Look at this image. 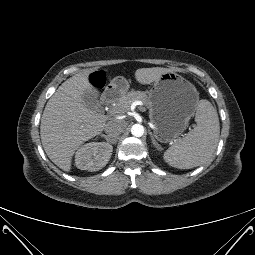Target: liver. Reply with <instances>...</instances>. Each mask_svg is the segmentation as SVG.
Returning <instances> with one entry per match:
<instances>
[{
	"instance_id": "liver-1",
	"label": "liver",
	"mask_w": 255,
	"mask_h": 255,
	"mask_svg": "<svg viewBox=\"0 0 255 255\" xmlns=\"http://www.w3.org/2000/svg\"><path fill=\"white\" fill-rule=\"evenodd\" d=\"M175 69L153 67L135 72L141 84H150L160 76ZM90 71L80 72L67 79L48 100L41 117L40 136L50 160L65 172H70L72 157L84 142L99 135L107 118L82 101L85 91L97 97V90L90 84Z\"/></svg>"
}]
</instances>
